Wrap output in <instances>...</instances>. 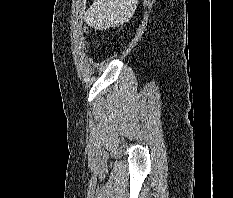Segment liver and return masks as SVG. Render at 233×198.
<instances>
[{"mask_svg": "<svg viewBox=\"0 0 233 198\" xmlns=\"http://www.w3.org/2000/svg\"><path fill=\"white\" fill-rule=\"evenodd\" d=\"M139 0H95L84 13L86 23L95 30H106L128 22Z\"/></svg>", "mask_w": 233, "mask_h": 198, "instance_id": "1", "label": "liver"}]
</instances>
